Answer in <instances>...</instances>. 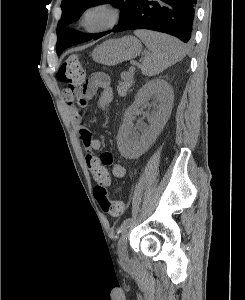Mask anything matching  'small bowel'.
<instances>
[{
  "label": "small bowel",
  "instance_id": "1",
  "mask_svg": "<svg viewBox=\"0 0 245 300\" xmlns=\"http://www.w3.org/2000/svg\"><path fill=\"white\" fill-rule=\"evenodd\" d=\"M110 84V77L107 74L94 73L77 95L76 102L70 101L68 103L78 138L86 152V164L93 173L96 188H102L103 190L111 188V173L115 178H123L126 176L127 171L123 165L114 163L110 153L96 154L102 147V141L94 137L89 128L83 123L84 118L80 108L97 98V105L100 109H109L114 98Z\"/></svg>",
  "mask_w": 245,
  "mask_h": 300
}]
</instances>
